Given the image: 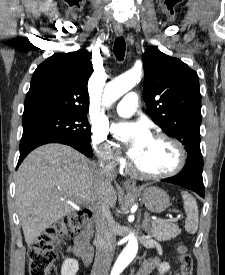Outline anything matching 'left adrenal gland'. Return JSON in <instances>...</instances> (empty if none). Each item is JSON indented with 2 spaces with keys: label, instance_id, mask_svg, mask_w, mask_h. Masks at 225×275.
Instances as JSON below:
<instances>
[{
  "label": "left adrenal gland",
  "instance_id": "left-adrenal-gland-1",
  "mask_svg": "<svg viewBox=\"0 0 225 275\" xmlns=\"http://www.w3.org/2000/svg\"><path fill=\"white\" fill-rule=\"evenodd\" d=\"M148 224H149V214L147 212H145L144 220H143V223H142V228L147 232L149 231Z\"/></svg>",
  "mask_w": 225,
  "mask_h": 275
}]
</instances>
